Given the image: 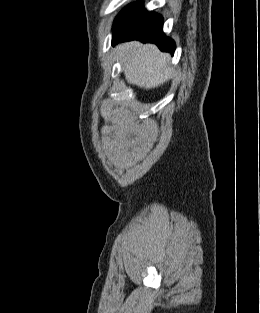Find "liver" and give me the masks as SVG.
I'll return each mask as SVG.
<instances>
[{
  "mask_svg": "<svg viewBox=\"0 0 260 313\" xmlns=\"http://www.w3.org/2000/svg\"><path fill=\"white\" fill-rule=\"evenodd\" d=\"M126 80L144 89L158 87L173 76L169 66L170 55L161 53L153 44L137 41L124 43L117 48Z\"/></svg>",
  "mask_w": 260,
  "mask_h": 313,
  "instance_id": "liver-1",
  "label": "liver"
}]
</instances>
